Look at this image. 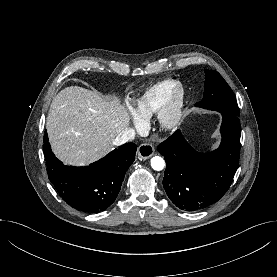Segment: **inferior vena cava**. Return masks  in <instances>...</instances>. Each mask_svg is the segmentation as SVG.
<instances>
[{"label": "inferior vena cava", "instance_id": "1", "mask_svg": "<svg viewBox=\"0 0 277 277\" xmlns=\"http://www.w3.org/2000/svg\"><path fill=\"white\" fill-rule=\"evenodd\" d=\"M136 132L133 128H125L114 140L115 145H122L128 141L135 139Z\"/></svg>", "mask_w": 277, "mask_h": 277}]
</instances>
